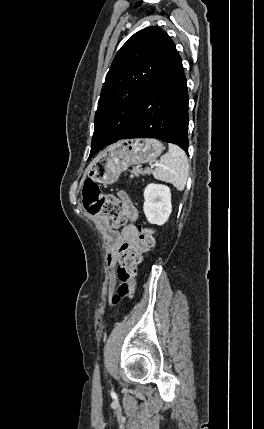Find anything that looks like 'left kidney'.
I'll return each instance as SVG.
<instances>
[{
    "mask_svg": "<svg viewBox=\"0 0 264 429\" xmlns=\"http://www.w3.org/2000/svg\"><path fill=\"white\" fill-rule=\"evenodd\" d=\"M143 210L149 223L163 225L172 212L170 188L162 184H148L144 189Z\"/></svg>",
    "mask_w": 264,
    "mask_h": 429,
    "instance_id": "5707ae66",
    "label": "left kidney"
}]
</instances>
